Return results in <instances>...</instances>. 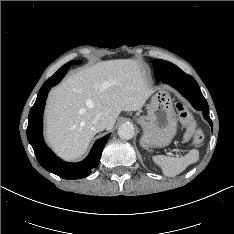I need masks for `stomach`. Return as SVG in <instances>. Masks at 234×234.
<instances>
[{
    "mask_svg": "<svg viewBox=\"0 0 234 234\" xmlns=\"http://www.w3.org/2000/svg\"><path fill=\"white\" fill-rule=\"evenodd\" d=\"M143 129L140 143L144 148L165 147L177 132V115L167 89H159L150 100L146 116L138 118Z\"/></svg>",
    "mask_w": 234,
    "mask_h": 234,
    "instance_id": "0dacf381",
    "label": "stomach"
}]
</instances>
